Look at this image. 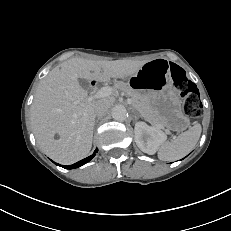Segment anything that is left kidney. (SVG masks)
Returning <instances> with one entry per match:
<instances>
[{
	"mask_svg": "<svg viewBox=\"0 0 231 231\" xmlns=\"http://www.w3.org/2000/svg\"><path fill=\"white\" fill-rule=\"evenodd\" d=\"M165 140L166 135L159 128L145 122L135 124V142L144 153L153 155Z\"/></svg>",
	"mask_w": 231,
	"mask_h": 231,
	"instance_id": "5707ae66",
	"label": "left kidney"
}]
</instances>
